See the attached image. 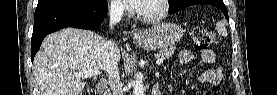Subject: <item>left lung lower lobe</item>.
I'll return each mask as SVG.
<instances>
[{"instance_id": "0a47b994", "label": "left lung lower lobe", "mask_w": 277, "mask_h": 95, "mask_svg": "<svg viewBox=\"0 0 277 95\" xmlns=\"http://www.w3.org/2000/svg\"><path fill=\"white\" fill-rule=\"evenodd\" d=\"M196 4H209L218 7L225 15V17L229 20L228 18V12L227 8L224 5L222 0H187L185 3L180 5L177 8L169 10V14L175 13L185 7L191 6V5H196Z\"/></svg>"}]
</instances>
